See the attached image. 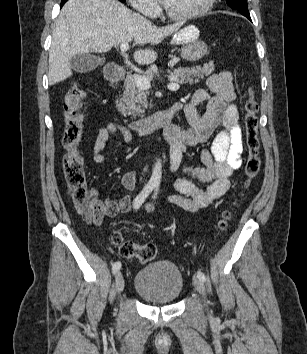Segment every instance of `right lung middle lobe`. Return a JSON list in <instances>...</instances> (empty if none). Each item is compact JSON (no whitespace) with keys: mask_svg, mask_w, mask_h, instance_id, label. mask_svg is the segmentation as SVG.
<instances>
[{"mask_svg":"<svg viewBox=\"0 0 307 354\" xmlns=\"http://www.w3.org/2000/svg\"><path fill=\"white\" fill-rule=\"evenodd\" d=\"M119 1H121V2H125V0H119Z\"/></svg>","mask_w":307,"mask_h":354,"instance_id":"dd1d6c3e","label":"right lung middle lobe"}]
</instances>
